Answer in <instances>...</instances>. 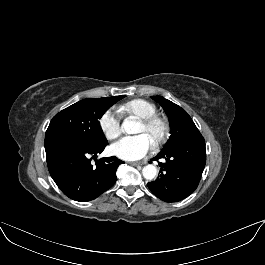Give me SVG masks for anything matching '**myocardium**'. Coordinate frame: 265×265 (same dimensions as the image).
Wrapping results in <instances>:
<instances>
[{
	"label": "myocardium",
	"mask_w": 265,
	"mask_h": 265,
	"mask_svg": "<svg viewBox=\"0 0 265 265\" xmlns=\"http://www.w3.org/2000/svg\"><path fill=\"white\" fill-rule=\"evenodd\" d=\"M140 122L145 127H148V128L155 127V126L159 127L158 134L155 140L153 141L154 147H159L166 141L169 135L170 126H169L168 121L164 117L158 114H155L152 116L141 118Z\"/></svg>",
	"instance_id": "f54148a6"
}]
</instances>
